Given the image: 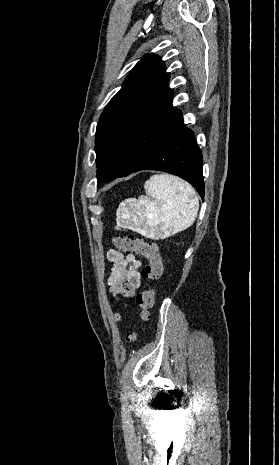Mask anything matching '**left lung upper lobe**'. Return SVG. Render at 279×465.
I'll list each match as a JSON object with an SVG mask.
<instances>
[{
  "label": "left lung upper lobe",
  "instance_id": "1",
  "mask_svg": "<svg viewBox=\"0 0 279 465\" xmlns=\"http://www.w3.org/2000/svg\"><path fill=\"white\" fill-rule=\"evenodd\" d=\"M168 80L164 62L144 55L108 103L96 129L99 181L131 174L182 119Z\"/></svg>",
  "mask_w": 279,
  "mask_h": 465
}]
</instances>
